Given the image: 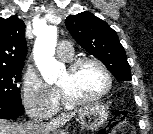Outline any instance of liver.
Segmentation results:
<instances>
[{
    "label": "liver",
    "mask_w": 153,
    "mask_h": 134,
    "mask_svg": "<svg viewBox=\"0 0 153 134\" xmlns=\"http://www.w3.org/2000/svg\"><path fill=\"white\" fill-rule=\"evenodd\" d=\"M76 113V110L63 113L53 124L46 125L41 133H38L39 131L37 129H33L32 123L19 124L17 122L0 119V134H46V132L52 130L55 126L69 121Z\"/></svg>",
    "instance_id": "liver-1"
}]
</instances>
